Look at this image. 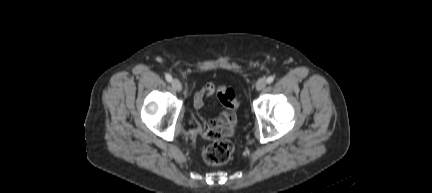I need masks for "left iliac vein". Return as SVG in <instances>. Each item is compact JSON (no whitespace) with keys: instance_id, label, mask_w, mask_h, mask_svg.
Segmentation results:
<instances>
[{"instance_id":"left-iliac-vein-1","label":"left iliac vein","mask_w":432,"mask_h":193,"mask_svg":"<svg viewBox=\"0 0 432 193\" xmlns=\"http://www.w3.org/2000/svg\"><path fill=\"white\" fill-rule=\"evenodd\" d=\"M267 81L264 78H261L257 81L256 83V89L258 91L262 90L265 88Z\"/></svg>"}]
</instances>
